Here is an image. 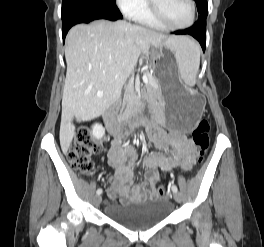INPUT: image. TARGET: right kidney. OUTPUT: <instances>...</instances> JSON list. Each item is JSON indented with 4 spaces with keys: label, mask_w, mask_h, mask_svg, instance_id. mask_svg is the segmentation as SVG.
<instances>
[{
    "label": "right kidney",
    "mask_w": 264,
    "mask_h": 247,
    "mask_svg": "<svg viewBox=\"0 0 264 247\" xmlns=\"http://www.w3.org/2000/svg\"><path fill=\"white\" fill-rule=\"evenodd\" d=\"M105 134V129L101 124H94L92 126V135L96 139H101Z\"/></svg>",
    "instance_id": "1"
}]
</instances>
